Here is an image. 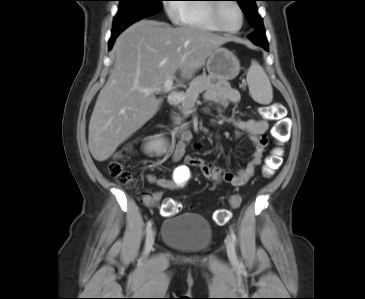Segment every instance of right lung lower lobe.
<instances>
[{
    "label": "right lung lower lobe",
    "mask_w": 365,
    "mask_h": 299,
    "mask_svg": "<svg viewBox=\"0 0 365 299\" xmlns=\"http://www.w3.org/2000/svg\"><path fill=\"white\" fill-rule=\"evenodd\" d=\"M141 19H135V20H126V21H122V22H118V23H114L113 25V30H112V36L111 39L109 41V49L112 48L116 38L130 25H132L133 23L139 21Z\"/></svg>",
    "instance_id": "98d812e1"
}]
</instances>
